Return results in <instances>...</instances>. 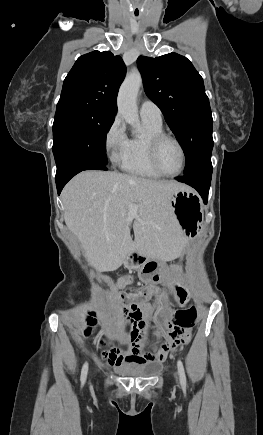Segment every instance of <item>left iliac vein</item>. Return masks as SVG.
I'll use <instances>...</instances> for the list:
<instances>
[{
    "label": "left iliac vein",
    "instance_id": "1",
    "mask_svg": "<svg viewBox=\"0 0 263 435\" xmlns=\"http://www.w3.org/2000/svg\"><path fill=\"white\" fill-rule=\"evenodd\" d=\"M174 376H175V378L177 379V374H176V373L174 374Z\"/></svg>",
    "mask_w": 263,
    "mask_h": 435
}]
</instances>
